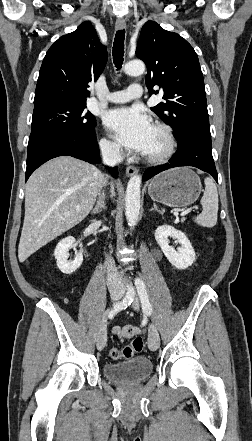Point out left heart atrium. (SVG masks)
Returning a JSON list of instances; mask_svg holds the SVG:
<instances>
[{"mask_svg":"<svg viewBox=\"0 0 252 441\" xmlns=\"http://www.w3.org/2000/svg\"><path fill=\"white\" fill-rule=\"evenodd\" d=\"M105 126L112 136L129 150L145 154L154 126L149 116L138 107H122L105 116Z\"/></svg>","mask_w":252,"mask_h":441,"instance_id":"left-heart-atrium-1","label":"left heart atrium"}]
</instances>
